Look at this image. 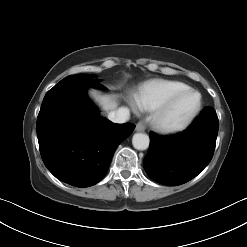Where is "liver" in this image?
<instances>
[{"mask_svg":"<svg viewBox=\"0 0 247 247\" xmlns=\"http://www.w3.org/2000/svg\"><path fill=\"white\" fill-rule=\"evenodd\" d=\"M90 95L100 104L105 111L113 110L117 106L114 96L100 95L96 91H90Z\"/></svg>","mask_w":247,"mask_h":247,"instance_id":"1","label":"liver"}]
</instances>
